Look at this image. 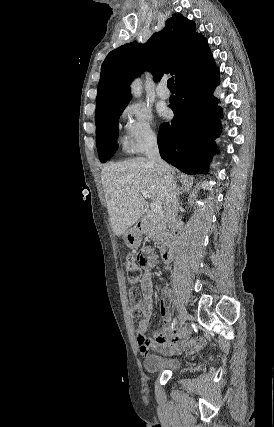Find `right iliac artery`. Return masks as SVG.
<instances>
[{
    "label": "right iliac artery",
    "instance_id": "1",
    "mask_svg": "<svg viewBox=\"0 0 274 427\" xmlns=\"http://www.w3.org/2000/svg\"><path fill=\"white\" fill-rule=\"evenodd\" d=\"M176 324H177V319L174 318L173 321H172V324H171L172 330L175 328Z\"/></svg>",
    "mask_w": 274,
    "mask_h": 427
}]
</instances>
